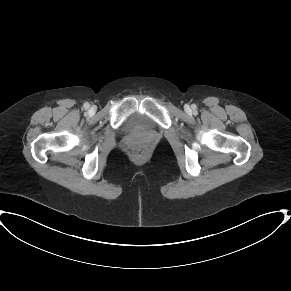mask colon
<instances>
[{
	"label": "colon",
	"mask_w": 291,
	"mask_h": 291,
	"mask_svg": "<svg viewBox=\"0 0 291 291\" xmlns=\"http://www.w3.org/2000/svg\"><path fill=\"white\" fill-rule=\"evenodd\" d=\"M133 156L136 157V158H142L144 155H145V149L142 148V147H135L133 149Z\"/></svg>",
	"instance_id": "obj_1"
}]
</instances>
